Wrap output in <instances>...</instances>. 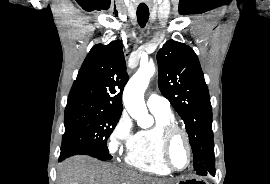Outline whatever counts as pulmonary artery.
I'll return each instance as SVG.
<instances>
[{"instance_id": "obj_1", "label": "pulmonary artery", "mask_w": 270, "mask_h": 184, "mask_svg": "<svg viewBox=\"0 0 270 184\" xmlns=\"http://www.w3.org/2000/svg\"><path fill=\"white\" fill-rule=\"evenodd\" d=\"M147 106L148 108L156 111H170V103L169 101L157 94H150L147 98Z\"/></svg>"}]
</instances>
